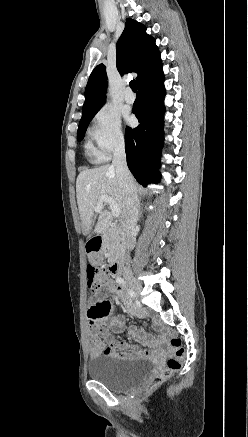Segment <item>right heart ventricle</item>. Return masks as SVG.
<instances>
[{
	"mask_svg": "<svg viewBox=\"0 0 248 437\" xmlns=\"http://www.w3.org/2000/svg\"><path fill=\"white\" fill-rule=\"evenodd\" d=\"M86 149H87L89 155H90L92 158H99V157L97 156L95 150H94V149H93L89 144L86 145Z\"/></svg>",
	"mask_w": 248,
	"mask_h": 437,
	"instance_id": "1",
	"label": "right heart ventricle"
}]
</instances>
